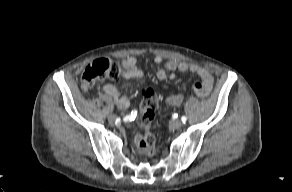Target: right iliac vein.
I'll use <instances>...</instances> for the list:
<instances>
[{
    "instance_id": "1",
    "label": "right iliac vein",
    "mask_w": 292,
    "mask_h": 192,
    "mask_svg": "<svg viewBox=\"0 0 292 192\" xmlns=\"http://www.w3.org/2000/svg\"><path fill=\"white\" fill-rule=\"evenodd\" d=\"M108 120L109 122L113 123L116 121V117L114 115H109Z\"/></svg>"
}]
</instances>
